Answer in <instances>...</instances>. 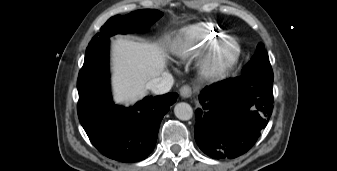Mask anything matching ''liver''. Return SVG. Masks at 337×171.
Instances as JSON below:
<instances>
[{
    "label": "liver",
    "mask_w": 337,
    "mask_h": 171,
    "mask_svg": "<svg viewBox=\"0 0 337 171\" xmlns=\"http://www.w3.org/2000/svg\"><path fill=\"white\" fill-rule=\"evenodd\" d=\"M112 85L116 103L126 106L143 98L147 84L162 76L164 50L156 44L117 38L112 43Z\"/></svg>",
    "instance_id": "liver-1"
}]
</instances>
